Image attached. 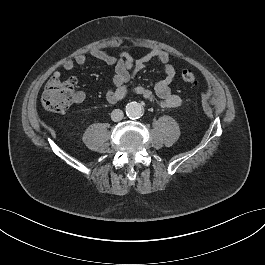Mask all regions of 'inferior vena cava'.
<instances>
[{
    "mask_svg": "<svg viewBox=\"0 0 265 265\" xmlns=\"http://www.w3.org/2000/svg\"><path fill=\"white\" fill-rule=\"evenodd\" d=\"M123 116H124L123 111L120 110V109H115L111 113V119L114 122H118V121L122 120L123 119Z\"/></svg>",
    "mask_w": 265,
    "mask_h": 265,
    "instance_id": "1",
    "label": "inferior vena cava"
}]
</instances>
